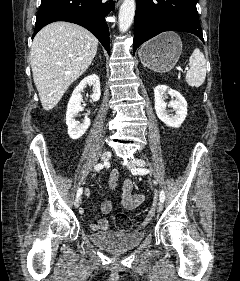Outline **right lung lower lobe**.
Instances as JSON below:
<instances>
[{"label": "right lung lower lobe", "instance_id": "98d812e1", "mask_svg": "<svg viewBox=\"0 0 240 281\" xmlns=\"http://www.w3.org/2000/svg\"><path fill=\"white\" fill-rule=\"evenodd\" d=\"M114 7L113 1L105 0H41L33 37L49 23L72 22L92 32L110 53L109 28L105 17Z\"/></svg>", "mask_w": 240, "mask_h": 281}]
</instances>
